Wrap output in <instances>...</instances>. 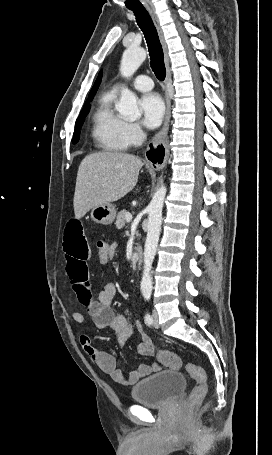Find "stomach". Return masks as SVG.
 I'll return each instance as SVG.
<instances>
[{
  "mask_svg": "<svg viewBox=\"0 0 272 455\" xmlns=\"http://www.w3.org/2000/svg\"><path fill=\"white\" fill-rule=\"evenodd\" d=\"M116 217V209L113 204L108 203L93 207L91 210V218L99 224H111Z\"/></svg>",
  "mask_w": 272,
  "mask_h": 455,
  "instance_id": "stomach-1",
  "label": "stomach"
}]
</instances>
